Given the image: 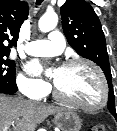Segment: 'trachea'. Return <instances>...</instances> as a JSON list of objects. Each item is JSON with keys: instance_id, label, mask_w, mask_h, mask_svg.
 Listing matches in <instances>:
<instances>
[{"instance_id": "obj_1", "label": "trachea", "mask_w": 117, "mask_h": 131, "mask_svg": "<svg viewBox=\"0 0 117 131\" xmlns=\"http://www.w3.org/2000/svg\"><path fill=\"white\" fill-rule=\"evenodd\" d=\"M37 2H36V5L38 6V5H40L42 2H43V0H36Z\"/></svg>"}]
</instances>
